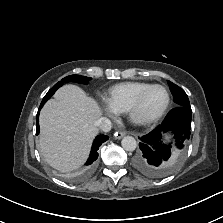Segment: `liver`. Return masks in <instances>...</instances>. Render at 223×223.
<instances>
[{
  "mask_svg": "<svg viewBox=\"0 0 223 223\" xmlns=\"http://www.w3.org/2000/svg\"><path fill=\"white\" fill-rule=\"evenodd\" d=\"M98 103L78 86L57 90L40 112V150L46 162L61 172L79 168L87 159L101 116Z\"/></svg>",
  "mask_w": 223,
  "mask_h": 223,
  "instance_id": "6515ba94",
  "label": "liver"
}]
</instances>
